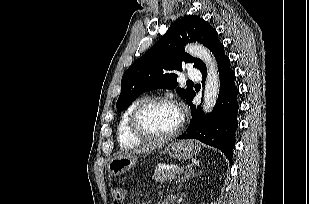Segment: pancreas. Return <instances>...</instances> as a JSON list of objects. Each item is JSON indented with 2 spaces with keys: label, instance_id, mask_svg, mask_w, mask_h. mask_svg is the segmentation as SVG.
I'll return each instance as SVG.
<instances>
[{
  "label": "pancreas",
  "instance_id": "cf45deb5",
  "mask_svg": "<svg viewBox=\"0 0 309 204\" xmlns=\"http://www.w3.org/2000/svg\"><path fill=\"white\" fill-rule=\"evenodd\" d=\"M179 172V168H169V169H161L157 168L155 170V173L153 175V179L157 182H166V181H172L175 179L176 174Z\"/></svg>",
  "mask_w": 309,
  "mask_h": 204
}]
</instances>
